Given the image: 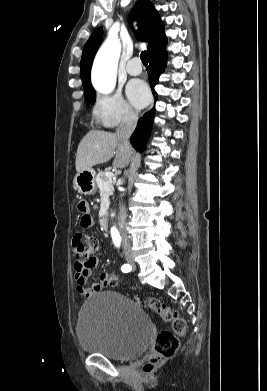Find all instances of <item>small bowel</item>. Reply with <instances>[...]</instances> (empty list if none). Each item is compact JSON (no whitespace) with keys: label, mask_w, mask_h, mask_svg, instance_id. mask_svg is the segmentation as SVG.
I'll use <instances>...</instances> for the list:
<instances>
[{"label":"small bowel","mask_w":267,"mask_h":391,"mask_svg":"<svg viewBox=\"0 0 267 391\" xmlns=\"http://www.w3.org/2000/svg\"><path fill=\"white\" fill-rule=\"evenodd\" d=\"M78 211L82 214L80 225L83 228H88L93 225V218L90 214V208L87 202L80 201L77 204ZM98 260L95 258L94 263L89 266L79 265L75 263L74 265V278L76 282V289L79 294L83 297L88 298L91 295L98 293L109 286L108 279L109 273H103L100 275V280L91 285H87L88 278L92 273V270L97 266Z\"/></svg>","instance_id":"small-bowel-1"}]
</instances>
